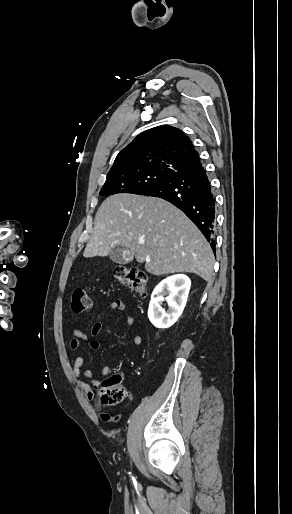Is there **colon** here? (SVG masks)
Listing matches in <instances>:
<instances>
[{
  "mask_svg": "<svg viewBox=\"0 0 292 514\" xmlns=\"http://www.w3.org/2000/svg\"><path fill=\"white\" fill-rule=\"evenodd\" d=\"M112 276L122 285H128L135 294L144 296L147 292V276L141 272L139 265L134 264L131 267L116 266L112 272ZM90 303L86 291L83 288H76L72 298V310L74 313H85L89 309ZM96 398L101 407L108 408L114 406L124 400L127 395L126 389L120 385V377L116 374H110L102 378L94 384ZM104 420L110 417L107 411L101 414ZM121 415L113 417L119 420Z\"/></svg>",
  "mask_w": 292,
  "mask_h": 514,
  "instance_id": "1",
  "label": "colon"
}]
</instances>
